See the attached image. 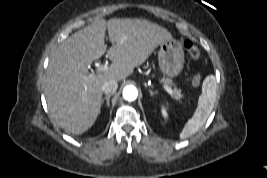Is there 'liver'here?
<instances>
[{
	"label": "liver",
	"instance_id": "liver-1",
	"mask_svg": "<svg viewBox=\"0 0 267 178\" xmlns=\"http://www.w3.org/2000/svg\"><path fill=\"white\" fill-rule=\"evenodd\" d=\"M112 46L106 57L112 64L104 72L89 74V66ZM172 38L165 28L143 19L97 18L68 37L51 56L44 93L54 122L67 133L81 135L100 113L102 84L120 81L142 65L163 41Z\"/></svg>",
	"mask_w": 267,
	"mask_h": 178
}]
</instances>
